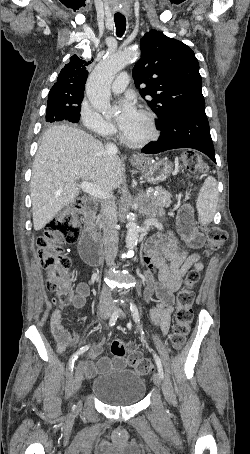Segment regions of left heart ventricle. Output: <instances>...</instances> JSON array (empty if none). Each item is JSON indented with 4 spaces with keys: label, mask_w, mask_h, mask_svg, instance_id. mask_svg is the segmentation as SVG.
Wrapping results in <instances>:
<instances>
[{
    "label": "left heart ventricle",
    "mask_w": 250,
    "mask_h": 454,
    "mask_svg": "<svg viewBox=\"0 0 250 454\" xmlns=\"http://www.w3.org/2000/svg\"><path fill=\"white\" fill-rule=\"evenodd\" d=\"M122 134L129 140H140L149 134V127L145 118L138 113L131 123L121 130Z\"/></svg>",
    "instance_id": "obj_1"
}]
</instances>
